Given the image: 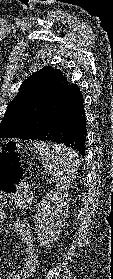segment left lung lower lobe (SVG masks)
Masks as SVG:
<instances>
[{
    "label": "left lung lower lobe",
    "instance_id": "left-lung-lower-lobe-1",
    "mask_svg": "<svg viewBox=\"0 0 113 279\" xmlns=\"http://www.w3.org/2000/svg\"><path fill=\"white\" fill-rule=\"evenodd\" d=\"M86 117L83 95L62 76L51 93L35 108L18 138L61 143L85 155Z\"/></svg>",
    "mask_w": 113,
    "mask_h": 279
}]
</instances>
